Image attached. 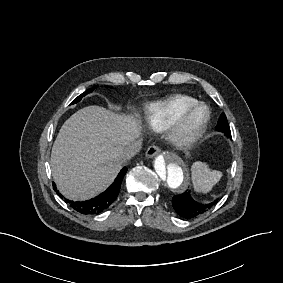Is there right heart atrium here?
<instances>
[{
    "instance_id": "obj_1",
    "label": "right heart atrium",
    "mask_w": 283,
    "mask_h": 283,
    "mask_svg": "<svg viewBox=\"0 0 283 283\" xmlns=\"http://www.w3.org/2000/svg\"><path fill=\"white\" fill-rule=\"evenodd\" d=\"M129 118H132L133 120H135L133 117H131V116H128ZM136 121V120H135ZM137 123H138V121H136ZM139 124V123H138Z\"/></svg>"
}]
</instances>
